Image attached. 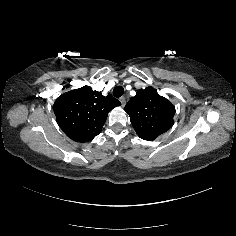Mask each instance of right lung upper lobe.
<instances>
[{
  "label": "right lung upper lobe",
  "mask_w": 236,
  "mask_h": 236,
  "mask_svg": "<svg viewBox=\"0 0 236 236\" xmlns=\"http://www.w3.org/2000/svg\"><path fill=\"white\" fill-rule=\"evenodd\" d=\"M120 104L110 94L105 97L84 86L59 96L53 111L63 132L72 140L83 143L101 132L108 113Z\"/></svg>",
  "instance_id": "cb5924a9"
}]
</instances>
